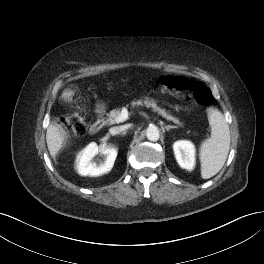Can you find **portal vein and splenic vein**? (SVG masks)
Here are the masks:
<instances>
[{
  "instance_id": "obj_1",
  "label": "portal vein and splenic vein",
  "mask_w": 264,
  "mask_h": 264,
  "mask_svg": "<svg viewBox=\"0 0 264 264\" xmlns=\"http://www.w3.org/2000/svg\"><path fill=\"white\" fill-rule=\"evenodd\" d=\"M129 118V113L126 108H124L121 113L117 116L115 122L116 123H122L126 121Z\"/></svg>"
}]
</instances>
